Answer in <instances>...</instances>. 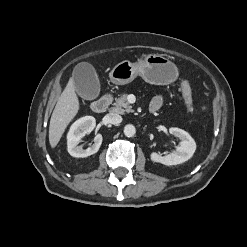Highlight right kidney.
I'll return each mask as SVG.
<instances>
[{
    "mask_svg": "<svg viewBox=\"0 0 247 247\" xmlns=\"http://www.w3.org/2000/svg\"><path fill=\"white\" fill-rule=\"evenodd\" d=\"M96 126V120L92 116H85L75 121L67 135L68 152L73 157H88L96 153L102 143V135L97 134L94 138V144L91 147L83 150L81 146H78L79 141L86 134L90 133Z\"/></svg>",
    "mask_w": 247,
    "mask_h": 247,
    "instance_id": "ca27d5eb",
    "label": "right kidney"
}]
</instances>
